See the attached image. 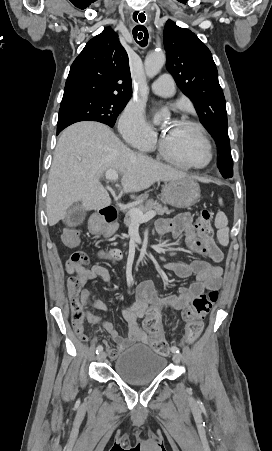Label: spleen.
Here are the masks:
<instances>
[{"instance_id": "3e777b00", "label": "spleen", "mask_w": 272, "mask_h": 451, "mask_svg": "<svg viewBox=\"0 0 272 451\" xmlns=\"http://www.w3.org/2000/svg\"><path fill=\"white\" fill-rule=\"evenodd\" d=\"M219 204H220V206H223L222 198H219ZM215 226L218 227V229H217L218 241H220L221 245H228V243H229V227H227L228 220H227L224 212H218V214H216Z\"/></svg>"}]
</instances>
